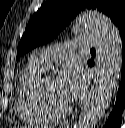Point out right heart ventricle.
Listing matches in <instances>:
<instances>
[{"label": "right heart ventricle", "instance_id": "right-heart-ventricle-1", "mask_svg": "<svg viewBox=\"0 0 125 128\" xmlns=\"http://www.w3.org/2000/svg\"><path fill=\"white\" fill-rule=\"evenodd\" d=\"M44 71V68L30 60L19 76L16 111L19 117L25 122L44 124L51 119L40 109L34 95V86Z\"/></svg>", "mask_w": 125, "mask_h": 128}]
</instances>
